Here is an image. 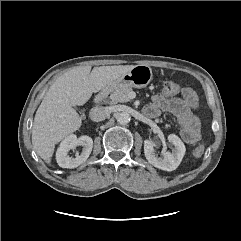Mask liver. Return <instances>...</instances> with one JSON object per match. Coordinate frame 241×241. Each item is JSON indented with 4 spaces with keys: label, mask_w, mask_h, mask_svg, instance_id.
<instances>
[{
    "label": "liver",
    "mask_w": 241,
    "mask_h": 241,
    "mask_svg": "<svg viewBox=\"0 0 241 241\" xmlns=\"http://www.w3.org/2000/svg\"><path fill=\"white\" fill-rule=\"evenodd\" d=\"M134 65L90 66L70 69L51 85L36 111L32 144L36 153L51 164L54 148L78 130L82 118L73 108L84 105L92 96L128 73Z\"/></svg>",
    "instance_id": "obj_1"
}]
</instances>
